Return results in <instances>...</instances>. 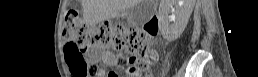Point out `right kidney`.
Returning a JSON list of instances; mask_svg holds the SVG:
<instances>
[{"label":"right kidney","mask_w":258,"mask_h":77,"mask_svg":"<svg viewBox=\"0 0 258 77\" xmlns=\"http://www.w3.org/2000/svg\"><path fill=\"white\" fill-rule=\"evenodd\" d=\"M177 2V0H176ZM179 4L180 5H183V2L184 0H178ZM182 2V3H180ZM194 2V0H193ZM173 4H162L160 5V8L161 9H164L165 13L168 12L169 8L172 6ZM192 8L193 6H189L184 12L186 13V18H185V21H182V23H178V22H175L173 27H172V37L173 38H178L180 36V34L183 32L185 26H186V23L188 21V18L190 16V13L192 11ZM169 20H174V17H169Z\"/></svg>","instance_id":"ca27d5eb"}]
</instances>
